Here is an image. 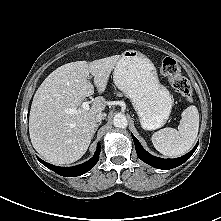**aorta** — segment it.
I'll return each mask as SVG.
<instances>
[{"instance_id": "aorta-1", "label": "aorta", "mask_w": 221, "mask_h": 221, "mask_svg": "<svg viewBox=\"0 0 221 221\" xmlns=\"http://www.w3.org/2000/svg\"><path fill=\"white\" fill-rule=\"evenodd\" d=\"M114 126L117 128H126L128 125L127 118L124 114L118 113L114 116L113 119Z\"/></svg>"}]
</instances>
